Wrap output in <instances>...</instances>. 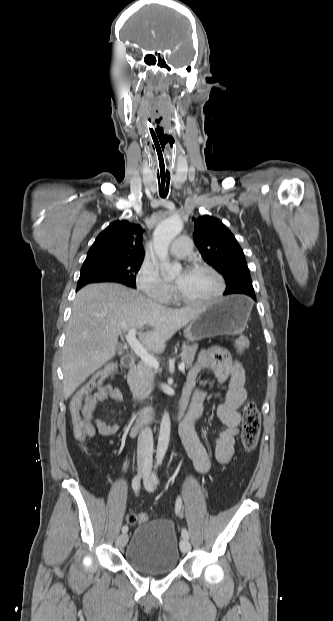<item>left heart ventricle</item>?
<instances>
[{"label": "left heart ventricle", "mask_w": 333, "mask_h": 621, "mask_svg": "<svg viewBox=\"0 0 333 621\" xmlns=\"http://www.w3.org/2000/svg\"><path fill=\"white\" fill-rule=\"evenodd\" d=\"M175 280L178 291L191 299H207L218 289L216 278L207 271H183Z\"/></svg>", "instance_id": "1"}]
</instances>
